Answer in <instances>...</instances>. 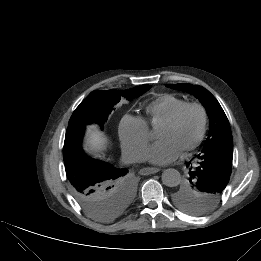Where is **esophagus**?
Returning a JSON list of instances; mask_svg holds the SVG:
<instances>
[{"instance_id": "1", "label": "esophagus", "mask_w": 261, "mask_h": 261, "mask_svg": "<svg viewBox=\"0 0 261 261\" xmlns=\"http://www.w3.org/2000/svg\"><path fill=\"white\" fill-rule=\"evenodd\" d=\"M160 169L159 168H155V167H147V168H143L140 170V174L141 175H150V174H155L157 172H159Z\"/></svg>"}]
</instances>
